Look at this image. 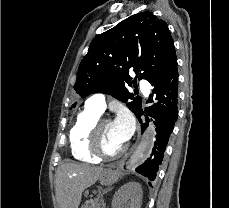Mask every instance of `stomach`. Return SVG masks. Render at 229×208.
<instances>
[{
	"label": "stomach",
	"mask_w": 229,
	"mask_h": 208,
	"mask_svg": "<svg viewBox=\"0 0 229 208\" xmlns=\"http://www.w3.org/2000/svg\"><path fill=\"white\" fill-rule=\"evenodd\" d=\"M119 178V174L117 170H112V168H106V170H103L101 172L98 180L102 186H112V184H115Z\"/></svg>",
	"instance_id": "0dacf381"
}]
</instances>
